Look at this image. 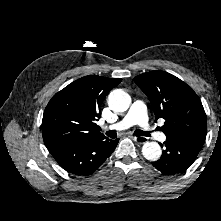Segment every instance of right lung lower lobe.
Wrapping results in <instances>:
<instances>
[{
    "instance_id": "1",
    "label": "right lung lower lobe",
    "mask_w": 221,
    "mask_h": 221,
    "mask_svg": "<svg viewBox=\"0 0 221 221\" xmlns=\"http://www.w3.org/2000/svg\"><path fill=\"white\" fill-rule=\"evenodd\" d=\"M119 139L105 136L92 140L61 143L47 147L58 164L67 172L78 176L94 173L110 156Z\"/></svg>"
}]
</instances>
